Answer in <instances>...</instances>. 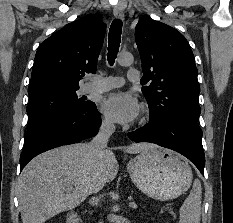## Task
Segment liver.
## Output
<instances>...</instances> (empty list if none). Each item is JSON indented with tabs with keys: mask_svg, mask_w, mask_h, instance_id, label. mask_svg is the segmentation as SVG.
Here are the masks:
<instances>
[{
	"mask_svg": "<svg viewBox=\"0 0 233 223\" xmlns=\"http://www.w3.org/2000/svg\"><path fill=\"white\" fill-rule=\"evenodd\" d=\"M154 143H131L127 153H140ZM96 165L89 143H73L40 153L29 161L18 179L22 223H45L61 211H68L94 193V185L115 179L119 163L111 149Z\"/></svg>",
	"mask_w": 233,
	"mask_h": 223,
	"instance_id": "1",
	"label": "liver"
}]
</instances>
